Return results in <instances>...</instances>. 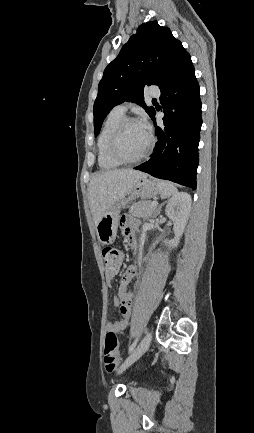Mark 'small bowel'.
<instances>
[{
  "label": "small bowel",
  "mask_w": 254,
  "mask_h": 433,
  "mask_svg": "<svg viewBox=\"0 0 254 433\" xmlns=\"http://www.w3.org/2000/svg\"><path fill=\"white\" fill-rule=\"evenodd\" d=\"M121 227L123 234L128 241H132L135 237L137 231V223L134 220H128L123 218L121 221ZM140 271V266L131 265L122 275L120 280V285L118 289V294L114 297V305L119 307L121 318L117 320H109L106 322V329L109 331H114L116 333L124 331L128 325L131 316L132 309V298L133 295L128 291L127 286L130 281L138 274ZM108 274V283L110 284L111 279L116 275Z\"/></svg>",
  "instance_id": "1"
}]
</instances>
